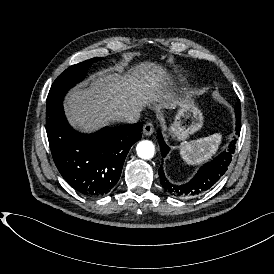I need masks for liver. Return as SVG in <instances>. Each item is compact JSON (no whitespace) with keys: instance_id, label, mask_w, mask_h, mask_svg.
Masks as SVG:
<instances>
[{"instance_id":"obj_1","label":"liver","mask_w":274,"mask_h":274,"mask_svg":"<svg viewBox=\"0 0 274 274\" xmlns=\"http://www.w3.org/2000/svg\"><path fill=\"white\" fill-rule=\"evenodd\" d=\"M122 72L103 71L70 93L66 108L76 127L91 130L119 120L122 112L140 110L144 103L157 101L166 105L165 101L174 95L164 88L170 82L156 65H140L131 78H125Z\"/></svg>"}]
</instances>
